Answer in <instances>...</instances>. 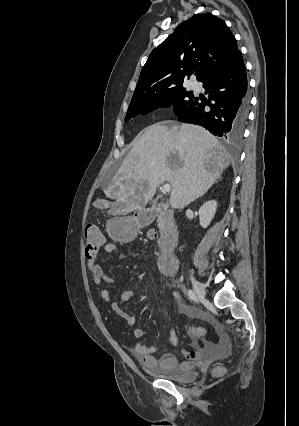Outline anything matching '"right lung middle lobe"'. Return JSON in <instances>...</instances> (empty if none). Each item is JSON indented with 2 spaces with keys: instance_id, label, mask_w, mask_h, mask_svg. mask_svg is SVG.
<instances>
[{
  "instance_id": "right-lung-middle-lobe-1",
  "label": "right lung middle lobe",
  "mask_w": 299,
  "mask_h": 426,
  "mask_svg": "<svg viewBox=\"0 0 299 426\" xmlns=\"http://www.w3.org/2000/svg\"><path fill=\"white\" fill-rule=\"evenodd\" d=\"M193 98V93L186 91L182 85L152 93L142 99L130 102L125 121L138 114H147L158 107H169L170 105H173L176 114L183 110Z\"/></svg>"
}]
</instances>
